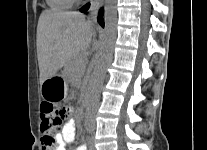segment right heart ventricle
Instances as JSON below:
<instances>
[{
	"label": "right heart ventricle",
	"instance_id": "1",
	"mask_svg": "<svg viewBox=\"0 0 207 150\" xmlns=\"http://www.w3.org/2000/svg\"><path fill=\"white\" fill-rule=\"evenodd\" d=\"M48 6L55 11H64L72 8L76 0H46Z\"/></svg>",
	"mask_w": 207,
	"mask_h": 150
}]
</instances>
